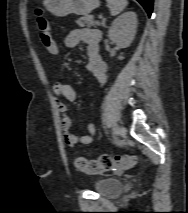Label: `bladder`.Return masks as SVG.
I'll list each match as a JSON object with an SVG mask.
<instances>
[{"label":"bladder","instance_id":"bladder-1","mask_svg":"<svg viewBox=\"0 0 188 213\" xmlns=\"http://www.w3.org/2000/svg\"><path fill=\"white\" fill-rule=\"evenodd\" d=\"M93 188L101 196L115 197L123 191L124 184L117 178H100L93 183Z\"/></svg>","mask_w":188,"mask_h":213}]
</instances>
